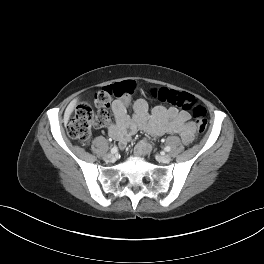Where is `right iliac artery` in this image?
<instances>
[{
  "label": "right iliac artery",
  "instance_id": "right-iliac-artery-1",
  "mask_svg": "<svg viewBox=\"0 0 264 264\" xmlns=\"http://www.w3.org/2000/svg\"><path fill=\"white\" fill-rule=\"evenodd\" d=\"M117 151H118V148H117L116 146H114V147L111 149V153H112V154L117 153Z\"/></svg>",
  "mask_w": 264,
  "mask_h": 264
}]
</instances>
